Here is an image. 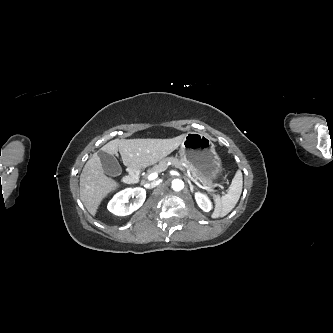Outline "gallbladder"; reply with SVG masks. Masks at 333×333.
Listing matches in <instances>:
<instances>
[{
    "label": "gallbladder",
    "instance_id": "gallbladder-1",
    "mask_svg": "<svg viewBox=\"0 0 333 333\" xmlns=\"http://www.w3.org/2000/svg\"><path fill=\"white\" fill-rule=\"evenodd\" d=\"M97 154L101 160L103 170L107 175L115 177L122 174V168L113 155L102 150H99Z\"/></svg>",
    "mask_w": 333,
    "mask_h": 333
}]
</instances>
